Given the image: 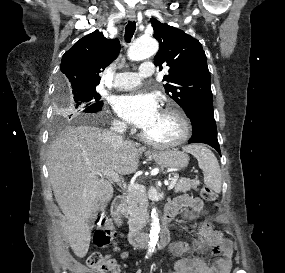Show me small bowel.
I'll return each mask as SVG.
<instances>
[{"instance_id":"c3829d8e","label":"small bowel","mask_w":285,"mask_h":273,"mask_svg":"<svg viewBox=\"0 0 285 273\" xmlns=\"http://www.w3.org/2000/svg\"><path fill=\"white\" fill-rule=\"evenodd\" d=\"M183 209L195 213L205 211L204 202L198 197L183 195L170 203L166 211L173 210L174 214ZM199 241L190 245L184 241H176L170 247L172 268L169 273H229L231 269V242L223 238L212 224L205 221L198 230ZM209 250L212 255L219 256L211 265L200 257L192 255L197 251Z\"/></svg>"}]
</instances>
